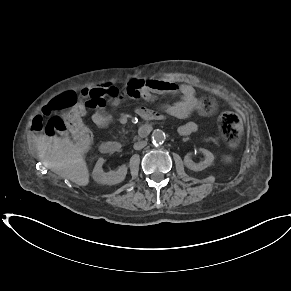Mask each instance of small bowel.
<instances>
[{"label":"small bowel","mask_w":291,"mask_h":291,"mask_svg":"<svg viewBox=\"0 0 291 291\" xmlns=\"http://www.w3.org/2000/svg\"><path fill=\"white\" fill-rule=\"evenodd\" d=\"M86 93L87 96L82 103V107L94 109L92 121L98 127H106L111 121V116L106 111L107 105L115 106L125 99L141 98L145 101H152L158 94L180 93L182 97L179 101L165 107L169 115L179 119L189 117L197 106L191 104L193 99L197 100L192 86L188 84L178 85L175 82L163 79L132 77L129 79L125 89L120 88L116 84L107 83L102 86L92 87ZM136 113L144 120L150 119L152 122L167 118L165 113H159L157 110L146 109L144 107H139ZM196 130L197 124L194 121H189L179 128V133L181 135H189Z\"/></svg>","instance_id":"small-bowel-1"}]
</instances>
